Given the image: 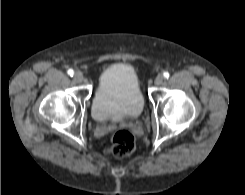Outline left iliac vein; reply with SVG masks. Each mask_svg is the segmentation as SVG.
<instances>
[{
	"mask_svg": "<svg viewBox=\"0 0 245 195\" xmlns=\"http://www.w3.org/2000/svg\"><path fill=\"white\" fill-rule=\"evenodd\" d=\"M164 81V76L163 75H158L156 78H155V84L157 86L161 85Z\"/></svg>",
	"mask_w": 245,
	"mask_h": 195,
	"instance_id": "obj_1",
	"label": "left iliac vein"
}]
</instances>
